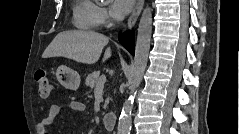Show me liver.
Segmentation results:
<instances>
[{"mask_svg":"<svg viewBox=\"0 0 239 134\" xmlns=\"http://www.w3.org/2000/svg\"><path fill=\"white\" fill-rule=\"evenodd\" d=\"M108 37L94 31H66L59 33L45 49L42 57H65L79 63L94 64L98 61ZM111 57L107 48L103 62Z\"/></svg>","mask_w":239,"mask_h":134,"instance_id":"6515ba94","label":"liver"}]
</instances>
